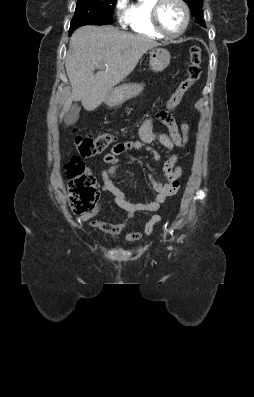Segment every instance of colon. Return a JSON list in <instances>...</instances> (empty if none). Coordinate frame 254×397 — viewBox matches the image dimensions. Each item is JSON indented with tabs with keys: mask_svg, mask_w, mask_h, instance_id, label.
Instances as JSON below:
<instances>
[{
	"mask_svg": "<svg viewBox=\"0 0 254 397\" xmlns=\"http://www.w3.org/2000/svg\"><path fill=\"white\" fill-rule=\"evenodd\" d=\"M189 65L184 79L166 102L169 110L175 109L185 94L194 86L201 75V50L198 46L190 49ZM110 133H102L96 137L75 134L74 143L81 157H92L102 153L113 142ZM68 195L71 210L80 214L91 210L99 199L96 179L89 167L79 156H74L67 164Z\"/></svg>",
	"mask_w": 254,
	"mask_h": 397,
	"instance_id": "colon-1",
	"label": "colon"
}]
</instances>
